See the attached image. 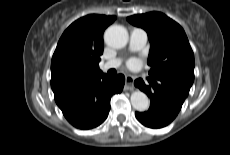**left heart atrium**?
Listing matches in <instances>:
<instances>
[{
  "mask_svg": "<svg viewBox=\"0 0 230 155\" xmlns=\"http://www.w3.org/2000/svg\"><path fill=\"white\" fill-rule=\"evenodd\" d=\"M138 64V60L137 59H130L128 62V66L129 67H134Z\"/></svg>",
  "mask_w": 230,
  "mask_h": 155,
  "instance_id": "1",
  "label": "left heart atrium"
}]
</instances>
